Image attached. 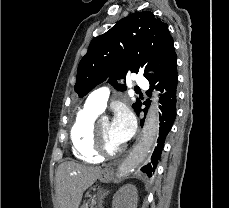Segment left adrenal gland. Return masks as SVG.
Instances as JSON below:
<instances>
[{
	"label": "left adrenal gland",
	"instance_id": "a2214340",
	"mask_svg": "<svg viewBox=\"0 0 229 208\" xmlns=\"http://www.w3.org/2000/svg\"><path fill=\"white\" fill-rule=\"evenodd\" d=\"M108 192H105V194H103V196H107Z\"/></svg>",
	"mask_w": 229,
	"mask_h": 208
}]
</instances>
